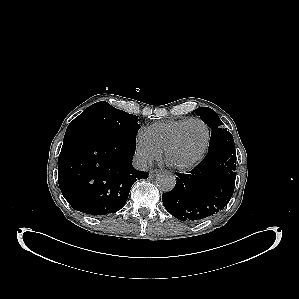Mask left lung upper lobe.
Wrapping results in <instances>:
<instances>
[{
    "instance_id": "obj_1",
    "label": "left lung upper lobe",
    "mask_w": 299,
    "mask_h": 299,
    "mask_svg": "<svg viewBox=\"0 0 299 299\" xmlns=\"http://www.w3.org/2000/svg\"><path fill=\"white\" fill-rule=\"evenodd\" d=\"M194 112L200 116L204 123L212 128L208 152L224 145L234 146L232 134L226 128H221L222 122L214 110L208 107H200L195 109Z\"/></svg>"
}]
</instances>
